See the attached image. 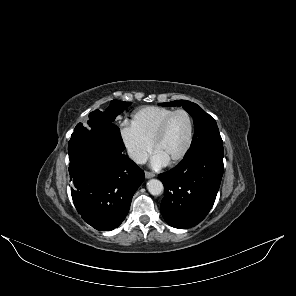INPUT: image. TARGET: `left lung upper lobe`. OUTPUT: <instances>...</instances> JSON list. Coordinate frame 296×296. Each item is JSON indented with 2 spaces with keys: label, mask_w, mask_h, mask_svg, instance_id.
Wrapping results in <instances>:
<instances>
[{
  "label": "left lung upper lobe",
  "mask_w": 296,
  "mask_h": 296,
  "mask_svg": "<svg viewBox=\"0 0 296 296\" xmlns=\"http://www.w3.org/2000/svg\"><path fill=\"white\" fill-rule=\"evenodd\" d=\"M162 106H182L192 117L195 125L193 140L185 157L203 149L223 145L216 121L197 104L187 100L160 103Z\"/></svg>",
  "instance_id": "5c2ea615"
}]
</instances>
